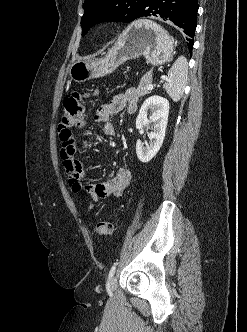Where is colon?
<instances>
[{
	"label": "colon",
	"mask_w": 247,
	"mask_h": 332,
	"mask_svg": "<svg viewBox=\"0 0 247 332\" xmlns=\"http://www.w3.org/2000/svg\"><path fill=\"white\" fill-rule=\"evenodd\" d=\"M97 92H74L64 100V112L58 125L61 141L64 144L73 140L72 129L80 127L84 122V111L86 103L93 102V97ZM88 207L94 210V203L89 201ZM96 233L99 236H109L113 231V226L109 221L102 220L96 225Z\"/></svg>",
	"instance_id": "5ec220e1"
}]
</instances>
